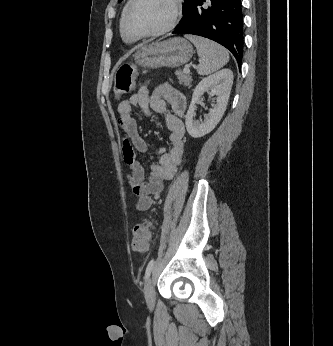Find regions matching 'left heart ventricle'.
<instances>
[{
    "label": "left heart ventricle",
    "mask_w": 333,
    "mask_h": 346,
    "mask_svg": "<svg viewBox=\"0 0 333 346\" xmlns=\"http://www.w3.org/2000/svg\"><path fill=\"white\" fill-rule=\"evenodd\" d=\"M173 16L171 0H139L128 21L131 31L149 33L167 26Z\"/></svg>",
    "instance_id": "b2bd125f"
}]
</instances>
